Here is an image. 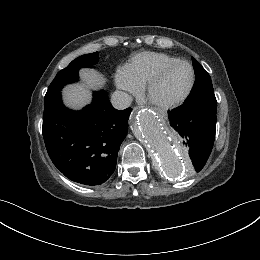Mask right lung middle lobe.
Returning <instances> with one entry per match:
<instances>
[{"label":"right lung middle lobe","mask_w":260,"mask_h":260,"mask_svg":"<svg viewBox=\"0 0 260 260\" xmlns=\"http://www.w3.org/2000/svg\"><path fill=\"white\" fill-rule=\"evenodd\" d=\"M99 61V53L94 52L79 56L73 60L66 68L58 72L50 86L48 87L46 95L60 92L67 83L78 80V70L83 67H92Z\"/></svg>","instance_id":"obj_1"}]
</instances>
